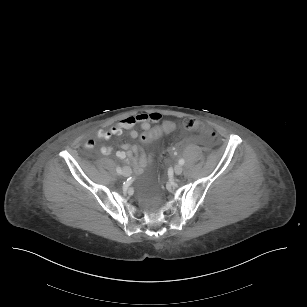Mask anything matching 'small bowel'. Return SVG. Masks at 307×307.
<instances>
[{
    "label": "small bowel",
    "instance_id": "small-bowel-1",
    "mask_svg": "<svg viewBox=\"0 0 307 307\" xmlns=\"http://www.w3.org/2000/svg\"><path fill=\"white\" fill-rule=\"evenodd\" d=\"M160 120V113L142 112L123 118L120 122L107 130H98L95 136L99 139H110L113 136L121 135L124 131H128V135L131 138L136 139L139 136L138 133L133 129L136 125H140L144 130L145 128L151 127L152 124L157 123ZM94 144V140L89 139L85 142L84 146L90 149L93 148ZM100 152L103 155H110L112 153V147L102 146ZM116 156L121 160H128L132 167L138 171L146 168L151 164L153 160V154H146L143 148L138 144L122 145L120 150L116 152Z\"/></svg>",
    "mask_w": 307,
    "mask_h": 307
}]
</instances>
